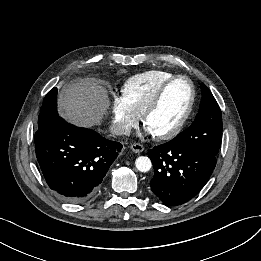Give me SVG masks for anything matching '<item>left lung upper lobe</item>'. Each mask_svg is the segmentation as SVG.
I'll return each mask as SVG.
<instances>
[{"mask_svg": "<svg viewBox=\"0 0 261 261\" xmlns=\"http://www.w3.org/2000/svg\"><path fill=\"white\" fill-rule=\"evenodd\" d=\"M199 112L192 125L175 138L195 149L217 155L222 141V115L219 105L205 84H201Z\"/></svg>", "mask_w": 261, "mask_h": 261, "instance_id": "1", "label": "left lung upper lobe"}]
</instances>
